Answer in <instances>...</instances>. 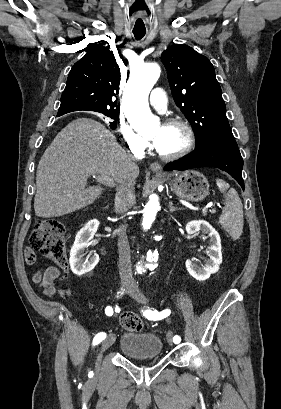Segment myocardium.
Segmentation results:
<instances>
[{
  "mask_svg": "<svg viewBox=\"0 0 281 409\" xmlns=\"http://www.w3.org/2000/svg\"><path fill=\"white\" fill-rule=\"evenodd\" d=\"M162 125L164 126L176 125V126L181 127L185 132L186 142L182 148H180L178 151L173 152V153H163V152H160L158 149H156L154 146H151L152 149L155 151V153L159 156V158L165 161H174V160L184 157L185 155L191 152V150L194 148V145H195V133H194L193 128L187 121H185L184 119L178 118V117H171V118H167L162 123Z\"/></svg>",
  "mask_w": 281,
  "mask_h": 409,
  "instance_id": "myocardium-1",
  "label": "myocardium"
}]
</instances>
